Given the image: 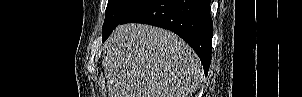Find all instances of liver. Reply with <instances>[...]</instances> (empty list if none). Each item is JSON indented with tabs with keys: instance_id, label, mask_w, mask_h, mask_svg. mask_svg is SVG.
Returning a JSON list of instances; mask_svg holds the SVG:
<instances>
[{
	"instance_id": "1",
	"label": "liver",
	"mask_w": 302,
	"mask_h": 97,
	"mask_svg": "<svg viewBox=\"0 0 302 97\" xmlns=\"http://www.w3.org/2000/svg\"><path fill=\"white\" fill-rule=\"evenodd\" d=\"M108 97H190L203 77L193 49L150 25H119L103 46Z\"/></svg>"
}]
</instances>
